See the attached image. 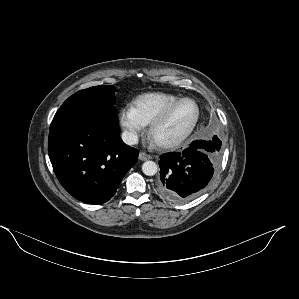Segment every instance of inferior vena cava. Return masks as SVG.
Listing matches in <instances>:
<instances>
[{"label":"inferior vena cava","mask_w":299,"mask_h":299,"mask_svg":"<svg viewBox=\"0 0 299 299\" xmlns=\"http://www.w3.org/2000/svg\"><path fill=\"white\" fill-rule=\"evenodd\" d=\"M122 140L127 145H135L138 143V136L130 131H124L122 133Z\"/></svg>","instance_id":"inferior-vena-cava-1"}]
</instances>
